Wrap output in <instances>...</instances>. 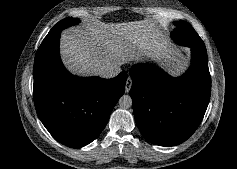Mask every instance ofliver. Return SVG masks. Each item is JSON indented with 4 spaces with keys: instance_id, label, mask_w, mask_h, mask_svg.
<instances>
[{
    "instance_id": "6515ba94",
    "label": "liver",
    "mask_w": 237,
    "mask_h": 169,
    "mask_svg": "<svg viewBox=\"0 0 237 169\" xmlns=\"http://www.w3.org/2000/svg\"><path fill=\"white\" fill-rule=\"evenodd\" d=\"M138 48L149 57L164 56V42L153 24H94L63 32L61 55L70 72L80 76L100 75L109 65L124 61V48ZM133 45V46H132Z\"/></svg>"
}]
</instances>
